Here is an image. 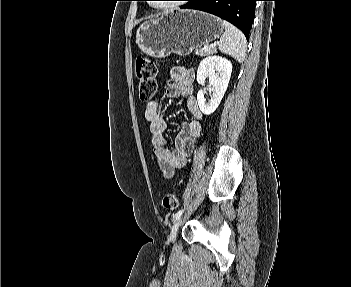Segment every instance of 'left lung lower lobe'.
<instances>
[{
    "mask_svg": "<svg viewBox=\"0 0 351 287\" xmlns=\"http://www.w3.org/2000/svg\"><path fill=\"white\" fill-rule=\"evenodd\" d=\"M181 8L195 9L216 15L237 26L248 36L255 16L258 0H186Z\"/></svg>",
    "mask_w": 351,
    "mask_h": 287,
    "instance_id": "1",
    "label": "left lung lower lobe"
}]
</instances>
